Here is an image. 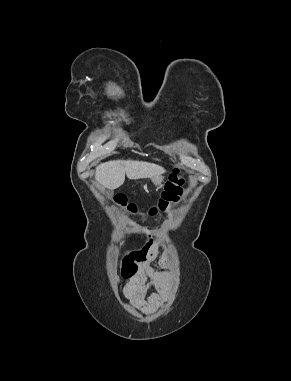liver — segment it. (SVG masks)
Instances as JSON below:
<instances>
[{"instance_id":"1","label":"liver","mask_w":291,"mask_h":381,"mask_svg":"<svg viewBox=\"0 0 291 381\" xmlns=\"http://www.w3.org/2000/svg\"><path fill=\"white\" fill-rule=\"evenodd\" d=\"M164 168L148 162L117 160L102 163L96 167L95 179L103 187L116 189L125 181V174L131 180L160 177Z\"/></svg>"}]
</instances>
